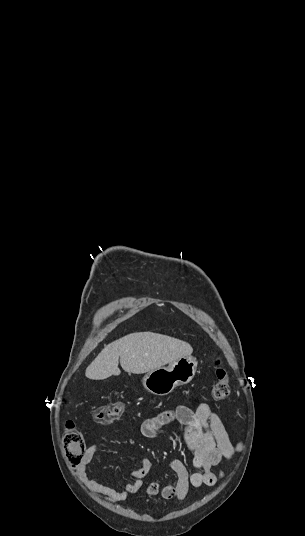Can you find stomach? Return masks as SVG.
I'll return each instance as SVG.
<instances>
[{
	"label": "stomach",
	"mask_w": 305,
	"mask_h": 536,
	"mask_svg": "<svg viewBox=\"0 0 305 536\" xmlns=\"http://www.w3.org/2000/svg\"><path fill=\"white\" fill-rule=\"evenodd\" d=\"M197 370V360L193 356H183L168 368H156L144 376L145 390L155 396H167L177 386H184L193 380Z\"/></svg>",
	"instance_id": "1"
}]
</instances>
